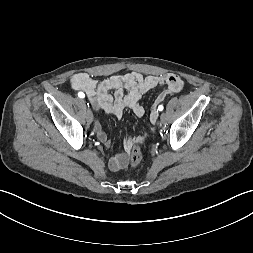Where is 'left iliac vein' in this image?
Returning a JSON list of instances; mask_svg holds the SVG:
<instances>
[{
    "label": "left iliac vein",
    "instance_id": "4c4485c4",
    "mask_svg": "<svg viewBox=\"0 0 253 253\" xmlns=\"http://www.w3.org/2000/svg\"><path fill=\"white\" fill-rule=\"evenodd\" d=\"M160 120H161V122H166V120H167V116H166V114H161V116H160Z\"/></svg>",
    "mask_w": 253,
    "mask_h": 253
}]
</instances>
